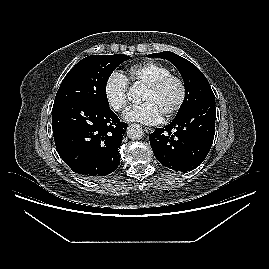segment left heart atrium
<instances>
[{"label":"left heart atrium","mask_w":269,"mask_h":269,"mask_svg":"<svg viewBox=\"0 0 269 269\" xmlns=\"http://www.w3.org/2000/svg\"><path fill=\"white\" fill-rule=\"evenodd\" d=\"M127 121L140 122L143 124H156L162 116L151 102L130 107L125 115Z\"/></svg>","instance_id":"obj_1"}]
</instances>
